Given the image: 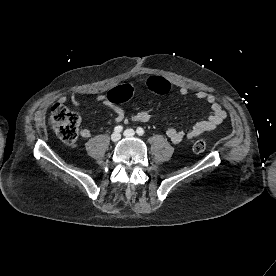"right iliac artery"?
<instances>
[{
	"label": "right iliac artery",
	"instance_id": "right-iliac-artery-1",
	"mask_svg": "<svg viewBox=\"0 0 276 276\" xmlns=\"http://www.w3.org/2000/svg\"><path fill=\"white\" fill-rule=\"evenodd\" d=\"M123 130V127L121 125H118L114 128V131L117 133H120Z\"/></svg>",
	"mask_w": 276,
	"mask_h": 276
}]
</instances>
